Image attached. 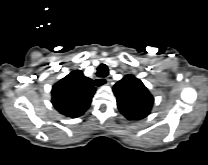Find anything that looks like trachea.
I'll use <instances>...</instances> for the list:
<instances>
[{
  "mask_svg": "<svg viewBox=\"0 0 208 165\" xmlns=\"http://www.w3.org/2000/svg\"><path fill=\"white\" fill-rule=\"evenodd\" d=\"M97 76L98 77H106L108 75V67L105 64H101L98 69H97ZM97 85L99 86L100 84L98 83L97 80Z\"/></svg>",
  "mask_w": 208,
  "mask_h": 165,
  "instance_id": "obj_1",
  "label": "trachea"
}]
</instances>
